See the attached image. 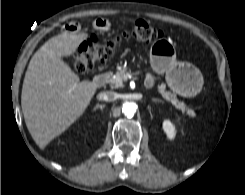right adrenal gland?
<instances>
[{"mask_svg": "<svg viewBox=\"0 0 245 195\" xmlns=\"http://www.w3.org/2000/svg\"><path fill=\"white\" fill-rule=\"evenodd\" d=\"M105 107V105H101V104H97L95 107H94V110H97V109H100L101 111H103V108Z\"/></svg>", "mask_w": 245, "mask_h": 195, "instance_id": "1", "label": "right adrenal gland"}]
</instances>
